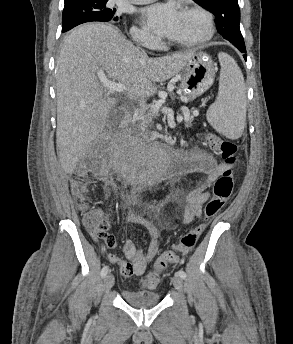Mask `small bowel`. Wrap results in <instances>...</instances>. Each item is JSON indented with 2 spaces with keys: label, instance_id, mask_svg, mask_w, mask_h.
I'll return each mask as SVG.
<instances>
[{
  "label": "small bowel",
  "instance_id": "c3829d8e",
  "mask_svg": "<svg viewBox=\"0 0 293 344\" xmlns=\"http://www.w3.org/2000/svg\"><path fill=\"white\" fill-rule=\"evenodd\" d=\"M186 160L182 163L180 172L184 174H201L202 181L184 193V205L182 208V220L190 224L202 215L203 205L210 199L208 188L228 167L226 164L218 163L211 154L206 151L193 149L185 154ZM129 224L141 225L147 229L149 244L146 253L138 249L135 244L127 239L122 246L125 259L115 254H108L107 259L120 267L123 276H142L147 265L155 259L159 251V229L150 222L144 221L134 214L127 215ZM162 228L170 226L166 220H159ZM97 241V239H94ZM107 247L116 245L115 237L107 233L103 237Z\"/></svg>",
  "mask_w": 293,
  "mask_h": 344
}]
</instances>
